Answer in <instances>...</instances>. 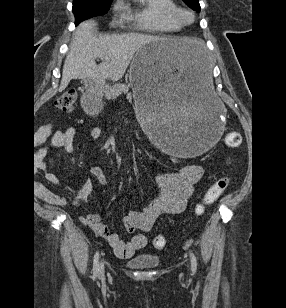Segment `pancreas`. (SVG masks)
<instances>
[{
  "instance_id": "obj_1",
  "label": "pancreas",
  "mask_w": 286,
  "mask_h": 308,
  "mask_svg": "<svg viewBox=\"0 0 286 308\" xmlns=\"http://www.w3.org/2000/svg\"><path fill=\"white\" fill-rule=\"evenodd\" d=\"M104 94L107 100L116 99L121 94H128L129 96H131V93H129V86L120 83L115 84L112 87H107L104 90Z\"/></svg>"
}]
</instances>
